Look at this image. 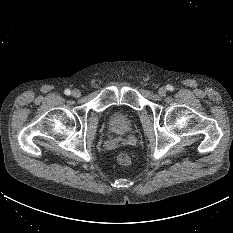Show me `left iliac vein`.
I'll use <instances>...</instances> for the list:
<instances>
[{
    "label": "left iliac vein",
    "instance_id": "4c4485c4",
    "mask_svg": "<svg viewBox=\"0 0 233 233\" xmlns=\"http://www.w3.org/2000/svg\"><path fill=\"white\" fill-rule=\"evenodd\" d=\"M158 93L160 96H164L166 94V89L164 87L159 88Z\"/></svg>",
    "mask_w": 233,
    "mask_h": 233
}]
</instances>
